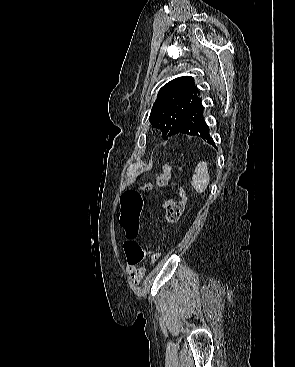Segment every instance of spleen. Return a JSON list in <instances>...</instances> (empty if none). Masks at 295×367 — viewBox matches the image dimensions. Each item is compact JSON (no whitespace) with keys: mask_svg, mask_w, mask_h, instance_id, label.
I'll return each mask as SVG.
<instances>
[{"mask_svg":"<svg viewBox=\"0 0 295 367\" xmlns=\"http://www.w3.org/2000/svg\"><path fill=\"white\" fill-rule=\"evenodd\" d=\"M208 164L206 162H200L195 168V174L192 177V185L194 189L203 193L209 184Z\"/></svg>","mask_w":295,"mask_h":367,"instance_id":"1","label":"spleen"}]
</instances>
